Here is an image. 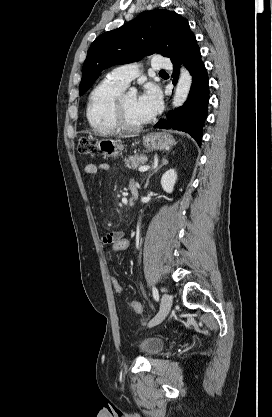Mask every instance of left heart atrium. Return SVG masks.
I'll return each mask as SVG.
<instances>
[{"mask_svg": "<svg viewBox=\"0 0 272 417\" xmlns=\"http://www.w3.org/2000/svg\"><path fill=\"white\" fill-rule=\"evenodd\" d=\"M162 107V96L159 89L152 84L145 86L138 98V108L148 118L155 116Z\"/></svg>", "mask_w": 272, "mask_h": 417, "instance_id": "obj_1", "label": "left heart atrium"}]
</instances>
